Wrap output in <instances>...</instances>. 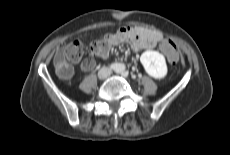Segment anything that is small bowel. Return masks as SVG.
I'll list each match as a JSON object with an SVG mask.
<instances>
[{
    "label": "small bowel",
    "instance_id": "small-bowel-1",
    "mask_svg": "<svg viewBox=\"0 0 230 155\" xmlns=\"http://www.w3.org/2000/svg\"><path fill=\"white\" fill-rule=\"evenodd\" d=\"M159 39H165L160 31L145 27H122L115 33L107 34L104 37V41L109 47L129 41L135 51L154 49ZM107 56L108 51L101 58L105 59ZM84 69H91V65Z\"/></svg>",
    "mask_w": 230,
    "mask_h": 155
}]
</instances>
